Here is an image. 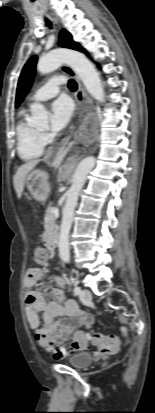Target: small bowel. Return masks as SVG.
<instances>
[{"mask_svg": "<svg viewBox=\"0 0 155 413\" xmlns=\"http://www.w3.org/2000/svg\"><path fill=\"white\" fill-rule=\"evenodd\" d=\"M43 242L46 246L51 245V229L43 233ZM47 275L43 268L29 267L24 279V286L31 289L34 285ZM58 287L49 290L50 301L38 291H28L26 295V316L30 328L40 345L46 341L63 343L69 339L77 328H89L93 324V317L79 309L74 300H67L62 291L63 280L54 277ZM42 312V322L39 313ZM58 318V321L55 319ZM86 347L83 343L81 349Z\"/></svg>", "mask_w": 155, "mask_h": 413, "instance_id": "c3829d8e", "label": "small bowel"}]
</instances>
